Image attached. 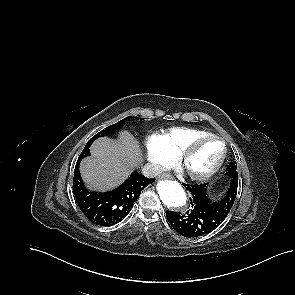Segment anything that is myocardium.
Returning <instances> with one entry per match:
<instances>
[{"label":"myocardium","mask_w":295,"mask_h":295,"mask_svg":"<svg viewBox=\"0 0 295 295\" xmlns=\"http://www.w3.org/2000/svg\"><path fill=\"white\" fill-rule=\"evenodd\" d=\"M209 140L218 141V142H220V144L222 146V151H221L220 157L217 160V162L214 164V166L210 170H208L205 173L195 174V173H191V172L187 171L186 164H187V161L190 158V156L195 152V150L202 143L209 141ZM226 155H227V146H226L225 141L217 135L208 134V135L201 136V137H198V138L192 140L180 153V155L178 156V160H179L180 165L186 171V173L190 179H192L194 181L203 182V181H207L210 178H212L221 169V167L225 161Z\"/></svg>","instance_id":"myocardium-1"}]
</instances>
